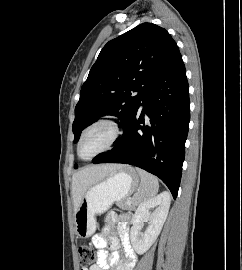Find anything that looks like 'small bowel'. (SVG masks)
<instances>
[{"instance_id": "obj_1", "label": "small bowel", "mask_w": 242, "mask_h": 270, "mask_svg": "<svg viewBox=\"0 0 242 270\" xmlns=\"http://www.w3.org/2000/svg\"><path fill=\"white\" fill-rule=\"evenodd\" d=\"M117 225L118 234L114 231ZM130 215L110 212L105 216L104 230L92 238V243L98 249V262L83 270H133L137 257L129 240ZM120 242L123 244L128 261H123L120 251ZM111 251V253L108 252Z\"/></svg>"}]
</instances>
